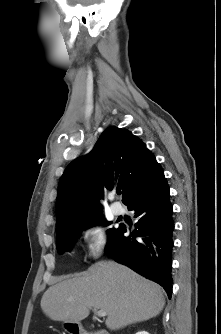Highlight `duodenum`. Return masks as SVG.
Here are the masks:
<instances>
[{"instance_id": "duodenum-1", "label": "duodenum", "mask_w": 221, "mask_h": 334, "mask_svg": "<svg viewBox=\"0 0 221 334\" xmlns=\"http://www.w3.org/2000/svg\"><path fill=\"white\" fill-rule=\"evenodd\" d=\"M73 334H109L107 331L105 330H96L93 331L91 333L87 332L86 330H84L83 328H78L76 327L75 329L70 330Z\"/></svg>"}]
</instances>
